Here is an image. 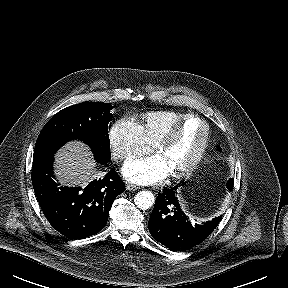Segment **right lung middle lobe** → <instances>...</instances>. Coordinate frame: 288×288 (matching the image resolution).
Listing matches in <instances>:
<instances>
[{
	"label": "right lung middle lobe",
	"mask_w": 288,
	"mask_h": 288,
	"mask_svg": "<svg viewBox=\"0 0 288 288\" xmlns=\"http://www.w3.org/2000/svg\"><path fill=\"white\" fill-rule=\"evenodd\" d=\"M111 108L110 103L83 102L59 111L40 132L34 157L53 155L61 145L78 139L90 146L97 161L107 162L110 159Z\"/></svg>",
	"instance_id": "obj_1"
}]
</instances>
